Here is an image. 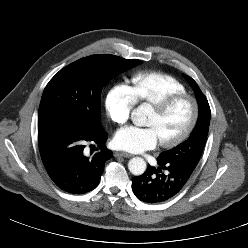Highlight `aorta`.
Masks as SVG:
<instances>
[{
    "label": "aorta",
    "mask_w": 248,
    "mask_h": 248,
    "mask_svg": "<svg viewBox=\"0 0 248 248\" xmlns=\"http://www.w3.org/2000/svg\"><path fill=\"white\" fill-rule=\"evenodd\" d=\"M142 108H138L134 113H133V120L135 123H138L141 115H142ZM146 162L143 158L141 157H134L129 160L128 162V169L129 171L136 176L142 175L145 170H146Z\"/></svg>",
    "instance_id": "762f6f07"
}]
</instances>
